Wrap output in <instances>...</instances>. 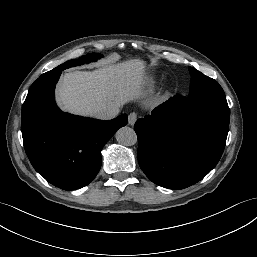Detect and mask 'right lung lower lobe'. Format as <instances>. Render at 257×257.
I'll list each match as a JSON object with an SVG mask.
<instances>
[{
  "mask_svg": "<svg viewBox=\"0 0 257 257\" xmlns=\"http://www.w3.org/2000/svg\"><path fill=\"white\" fill-rule=\"evenodd\" d=\"M61 71L44 73L32 84L22 106L21 131L35 170L56 187L75 190L95 178L103 146L128 116L102 121L62 112L54 100Z\"/></svg>",
  "mask_w": 257,
  "mask_h": 257,
  "instance_id": "right-lung-lower-lobe-1",
  "label": "right lung lower lobe"
}]
</instances>
